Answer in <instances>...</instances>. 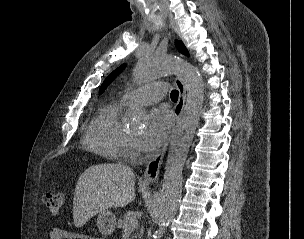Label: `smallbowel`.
<instances>
[{
  "instance_id": "obj_1",
  "label": "small bowel",
  "mask_w": 304,
  "mask_h": 239,
  "mask_svg": "<svg viewBox=\"0 0 304 239\" xmlns=\"http://www.w3.org/2000/svg\"><path fill=\"white\" fill-rule=\"evenodd\" d=\"M73 236V233L59 227L53 228L50 232V239H70Z\"/></svg>"
}]
</instances>
